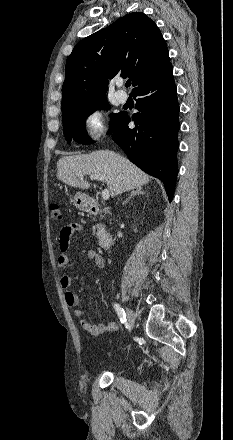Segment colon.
Listing matches in <instances>:
<instances>
[{
    "label": "colon",
    "instance_id": "1",
    "mask_svg": "<svg viewBox=\"0 0 233 440\" xmlns=\"http://www.w3.org/2000/svg\"><path fill=\"white\" fill-rule=\"evenodd\" d=\"M50 216L54 221H61L63 218V213L61 210V206L58 203H52L50 205Z\"/></svg>",
    "mask_w": 233,
    "mask_h": 440
}]
</instances>
